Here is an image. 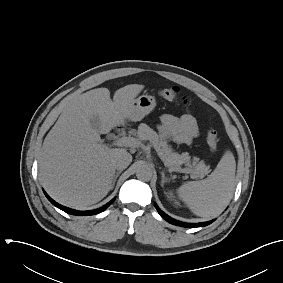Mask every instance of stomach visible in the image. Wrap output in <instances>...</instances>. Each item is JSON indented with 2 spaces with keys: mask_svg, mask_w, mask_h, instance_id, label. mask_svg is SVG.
<instances>
[{
  "mask_svg": "<svg viewBox=\"0 0 283 283\" xmlns=\"http://www.w3.org/2000/svg\"><path fill=\"white\" fill-rule=\"evenodd\" d=\"M155 106V97L143 94L130 102L126 110V119L130 121H140L148 115Z\"/></svg>",
  "mask_w": 283,
  "mask_h": 283,
  "instance_id": "stomach-1",
  "label": "stomach"
}]
</instances>
